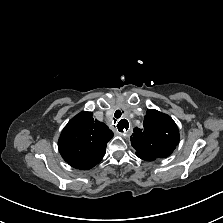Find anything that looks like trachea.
<instances>
[{
	"label": "trachea",
	"instance_id": "1",
	"mask_svg": "<svg viewBox=\"0 0 223 223\" xmlns=\"http://www.w3.org/2000/svg\"><path fill=\"white\" fill-rule=\"evenodd\" d=\"M115 118H120L121 117V111L120 110H117L114 114Z\"/></svg>",
	"mask_w": 223,
	"mask_h": 223
}]
</instances>
